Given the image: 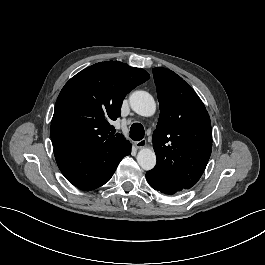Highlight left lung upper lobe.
<instances>
[{
	"label": "left lung upper lobe",
	"mask_w": 265,
	"mask_h": 265,
	"mask_svg": "<svg viewBox=\"0 0 265 265\" xmlns=\"http://www.w3.org/2000/svg\"><path fill=\"white\" fill-rule=\"evenodd\" d=\"M152 71L160 105L153 133L157 164L152 170L190 189L211 155L210 117L201 99L179 75L166 68Z\"/></svg>",
	"instance_id": "obj_1"
}]
</instances>
